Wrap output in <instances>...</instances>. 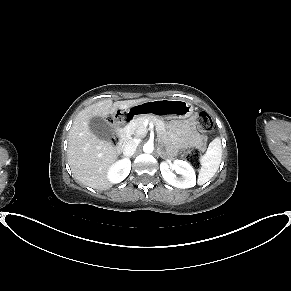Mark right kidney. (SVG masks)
I'll list each match as a JSON object with an SVG mask.
<instances>
[{
	"mask_svg": "<svg viewBox=\"0 0 291 291\" xmlns=\"http://www.w3.org/2000/svg\"><path fill=\"white\" fill-rule=\"evenodd\" d=\"M131 161L129 159H122L115 162L107 171V178L111 183H120L130 173Z\"/></svg>",
	"mask_w": 291,
	"mask_h": 291,
	"instance_id": "right-kidney-1",
	"label": "right kidney"
}]
</instances>
